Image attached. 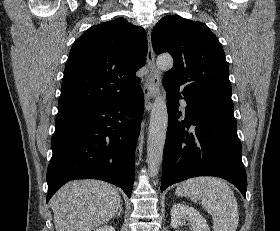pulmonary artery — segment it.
<instances>
[{"label": "pulmonary artery", "mask_w": 280, "mask_h": 231, "mask_svg": "<svg viewBox=\"0 0 280 231\" xmlns=\"http://www.w3.org/2000/svg\"><path fill=\"white\" fill-rule=\"evenodd\" d=\"M179 101H180V105H187V103H186V101L184 100L183 97H180ZM183 111L185 112L186 110H183Z\"/></svg>", "instance_id": "e3ab8cb5"}]
</instances>
